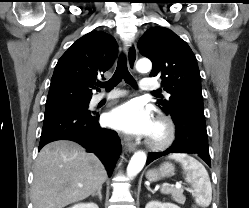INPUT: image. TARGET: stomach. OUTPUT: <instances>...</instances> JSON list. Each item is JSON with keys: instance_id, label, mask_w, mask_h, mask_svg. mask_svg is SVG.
Here are the masks:
<instances>
[{"instance_id": "0dacf381", "label": "stomach", "mask_w": 249, "mask_h": 208, "mask_svg": "<svg viewBox=\"0 0 249 208\" xmlns=\"http://www.w3.org/2000/svg\"><path fill=\"white\" fill-rule=\"evenodd\" d=\"M174 166L171 163L165 162L157 169H150L146 173V178L150 182H156L164 177L174 174Z\"/></svg>"}]
</instances>
